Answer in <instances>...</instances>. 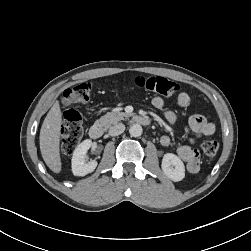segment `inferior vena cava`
Instances as JSON below:
<instances>
[{"label": "inferior vena cava", "instance_id": "1", "mask_svg": "<svg viewBox=\"0 0 251 251\" xmlns=\"http://www.w3.org/2000/svg\"><path fill=\"white\" fill-rule=\"evenodd\" d=\"M125 130V125L122 124V123H118L114 126H112L110 129H109V135L110 136H118L120 134H122Z\"/></svg>", "mask_w": 251, "mask_h": 251}]
</instances>
